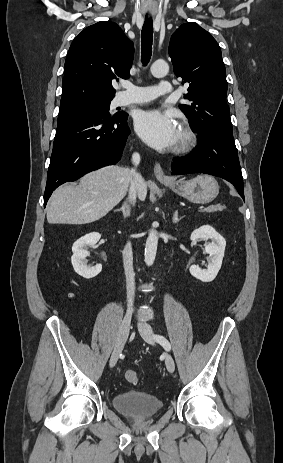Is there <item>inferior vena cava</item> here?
Here are the masks:
<instances>
[{
    "mask_svg": "<svg viewBox=\"0 0 283 463\" xmlns=\"http://www.w3.org/2000/svg\"><path fill=\"white\" fill-rule=\"evenodd\" d=\"M132 162L137 166L140 162V155L134 153L132 156ZM131 173V183L129 188V200L132 204L136 202V196L138 192L139 185L143 184L144 180L142 176L136 172L135 169L130 170ZM123 265L126 275V287H127V306L128 311L132 310L133 300L135 294V280H134V271H133V253L131 248V243L128 242L123 250Z\"/></svg>",
    "mask_w": 283,
    "mask_h": 463,
    "instance_id": "602c4592",
    "label": "inferior vena cava"
}]
</instances>
